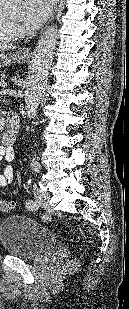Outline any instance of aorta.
Segmentation results:
<instances>
[{
	"mask_svg": "<svg viewBox=\"0 0 129 309\" xmlns=\"http://www.w3.org/2000/svg\"><path fill=\"white\" fill-rule=\"evenodd\" d=\"M19 0H9L8 12L19 9ZM58 40V27L51 26L41 35L32 57L30 76L24 99V111L27 116H33L45 92L51 63L54 58Z\"/></svg>",
	"mask_w": 129,
	"mask_h": 309,
	"instance_id": "obj_1",
	"label": "aorta"
}]
</instances>
